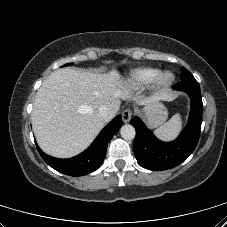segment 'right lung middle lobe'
<instances>
[{
    "mask_svg": "<svg viewBox=\"0 0 227 227\" xmlns=\"http://www.w3.org/2000/svg\"><path fill=\"white\" fill-rule=\"evenodd\" d=\"M69 65H70V63H67V64L63 65V67H64V66H69Z\"/></svg>",
    "mask_w": 227,
    "mask_h": 227,
    "instance_id": "obj_1",
    "label": "right lung middle lobe"
}]
</instances>
